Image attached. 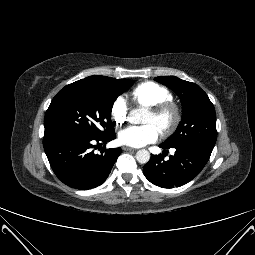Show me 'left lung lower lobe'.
<instances>
[{"instance_id": "obj_1", "label": "left lung lower lobe", "mask_w": 255, "mask_h": 255, "mask_svg": "<svg viewBox=\"0 0 255 255\" xmlns=\"http://www.w3.org/2000/svg\"><path fill=\"white\" fill-rule=\"evenodd\" d=\"M162 149H169L163 143ZM174 156L166 161L163 155H151L144 166L145 177L162 188L180 187L195 178L210 158L212 150L202 147H175ZM167 151V150H165Z\"/></svg>"}]
</instances>
